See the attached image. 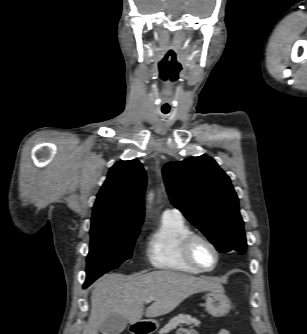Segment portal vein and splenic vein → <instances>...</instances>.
<instances>
[{
    "label": "portal vein and splenic vein",
    "instance_id": "1",
    "mask_svg": "<svg viewBox=\"0 0 307 334\" xmlns=\"http://www.w3.org/2000/svg\"><path fill=\"white\" fill-rule=\"evenodd\" d=\"M154 299L153 298H149V299H146L145 302L146 303H150L151 301H153Z\"/></svg>",
    "mask_w": 307,
    "mask_h": 334
}]
</instances>
